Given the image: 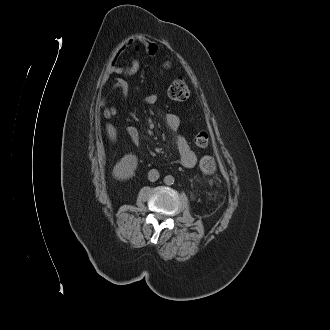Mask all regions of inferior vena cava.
Listing matches in <instances>:
<instances>
[{"label":"inferior vena cava","mask_w":330,"mask_h":330,"mask_svg":"<svg viewBox=\"0 0 330 330\" xmlns=\"http://www.w3.org/2000/svg\"><path fill=\"white\" fill-rule=\"evenodd\" d=\"M158 178H159V172L156 169H151L148 172V179L151 182H154V181L158 180Z\"/></svg>","instance_id":"obj_1"}]
</instances>
